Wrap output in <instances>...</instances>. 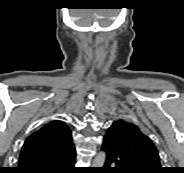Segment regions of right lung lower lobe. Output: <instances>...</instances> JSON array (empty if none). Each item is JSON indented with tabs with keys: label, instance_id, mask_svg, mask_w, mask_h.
<instances>
[{
	"label": "right lung lower lobe",
	"instance_id": "right-lung-lower-lobe-1",
	"mask_svg": "<svg viewBox=\"0 0 184 173\" xmlns=\"http://www.w3.org/2000/svg\"><path fill=\"white\" fill-rule=\"evenodd\" d=\"M76 160V151L40 165L31 166L25 169L17 170V173H79L74 167Z\"/></svg>",
	"mask_w": 184,
	"mask_h": 173
}]
</instances>
